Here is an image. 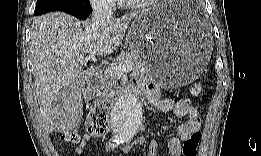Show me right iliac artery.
<instances>
[{"mask_svg":"<svg viewBox=\"0 0 261 156\" xmlns=\"http://www.w3.org/2000/svg\"><path fill=\"white\" fill-rule=\"evenodd\" d=\"M120 143V140L119 139H114L112 141L109 142V145H108V148H114L116 147L117 145H119Z\"/></svg>","mask_w":261,"mask_h":156,"instance_id":"1","label":"right iliac artery"}]
</instances>
